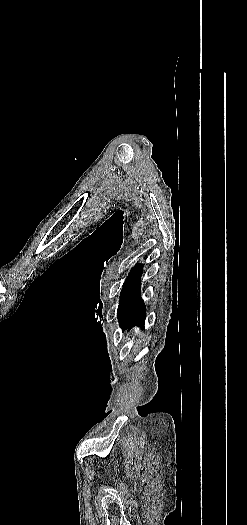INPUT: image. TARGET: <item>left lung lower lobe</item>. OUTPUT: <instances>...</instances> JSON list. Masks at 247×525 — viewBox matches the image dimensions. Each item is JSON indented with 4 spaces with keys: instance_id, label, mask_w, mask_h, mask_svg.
Segmentation results:
<instances>
[{
    "instance_id": "1",
    "label": "left lung lower lobe",
    "mask_w": 247,
    "mask_h": 525,
    "mask_svg": "<svg viewBox=\"0 0 247 525\" xmlns=\"http://www.w3.org/2000/svg\"><path fill=\"white\" fill-rule=\"evenodd\" d=\"M145 304L140 295V278L120 297L118 306V319L120 326L132 328L136 325H144Z\"/></svg>"
}]
</instances>
